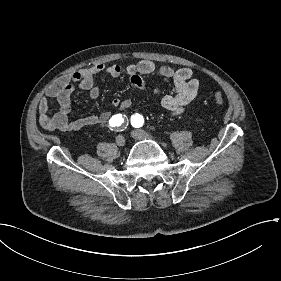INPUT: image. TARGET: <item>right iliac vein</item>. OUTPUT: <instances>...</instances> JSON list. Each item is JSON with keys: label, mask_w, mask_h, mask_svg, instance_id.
Wrapping results in <instances>:
<instances>
[{"label": "right iliac vein", "mask_w": 281, "mask_h": 281, "mask_svg": "<svg viewBox=\"0 0 281 281\" xmlns=\"http://www.w3.org/2000/svg\"><path fill=\"white\" fill-rule=\"evenodd\" d=\"M115 141L119 147H123L125 145V138L122 135H118Z\"/></svg>", "instance_id": "obj_1"}]
</instances>
